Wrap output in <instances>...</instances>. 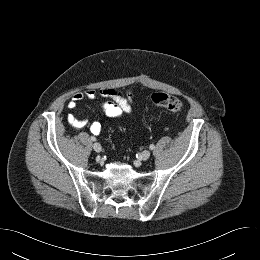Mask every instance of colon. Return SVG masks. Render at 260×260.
I'll use <instances>...</instances> for the list:
<instances>
[{
    "label": "colon",
    "instance_id": "1",
    "mask_svg": "<svg viewBox=\"0 0 260 260\" xmlns=\"http://www.w3.org/2000/svg\"><path fill=\"white\" fill-rule=\"evenodd\" d=\"M151 100L156 107L171 112H179L183 109V103L180 99L166 93H154Z\"/></svg>",
    "mask_w": 260,
    "mask_h": 260
}]
</instances>
